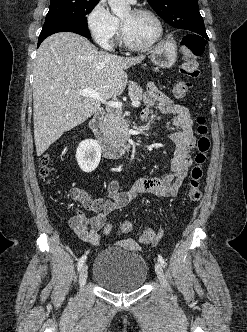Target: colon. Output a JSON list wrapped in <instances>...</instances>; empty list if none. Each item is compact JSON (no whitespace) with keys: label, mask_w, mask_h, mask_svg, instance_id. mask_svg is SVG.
Masks as SVG:
<instances>
[{"label":"colon","mask_w":247,"mask_h":332,"mask_svg":"<svg viewBox=\"0 0 247 332\" xmlns=\"http://www.w3.org/2000/svg\"><path fill=\"white\" fill-rule=\"evenodd\" d=\"M205 40L197 34H186L182 39V50L184 60L181 64L180 71L182 74L190 78L199 75V64L197 58L204 52ZM192 88V83L187 80H178L174 84L173 93L176 98L184 97ZM197 132L199 138L197 140V153L195 155L194 165L190 171L188 196L192 201H198L201 198V181L203 179L204 165L207 161V155L210 150L211 142L208 136V127L206 119L203 116L197 117ZM40 173L44 178H49L53 173L51 158L44 155L41 158ZM112 225L106 224L103 228L104 234L108 235L112 232ZM132 224L124 221L119 225V231L127 234L131 231ZM159 239V235L153 229H146L140 236L142 243H153Z\"/></svg>","instance_id":"colon-1"}]
</instances>
